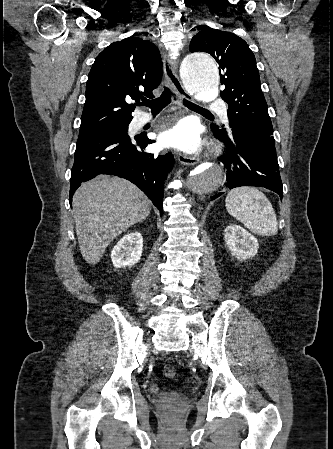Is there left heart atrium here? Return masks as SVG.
<instances>
[{"label": "left heart atrium", "mask_w": 333, "mask_h": 449, "mask_svg": "<svg viewBox=\"0 0 333 449\" xmlns=\"http://www.w3.org/2000/svg\"><path fill=\"white\" fill-rule=\"evenodd\" d=\"M161 144L177 148L184 152H195L200 146V138L196 127L187 121L179 122L173 128L159 136Z\"/></svg>", "instance_id": "left-heart-atrium-1"}]
</instances>
